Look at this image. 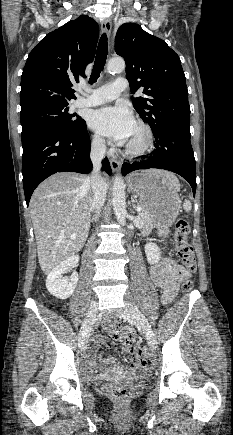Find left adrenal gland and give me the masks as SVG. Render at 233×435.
Listing matches in <instances>:
<instances>
[{"label":"left adrenal gland","instance_id":"obj_1","mask_svg":"<svg viewBox=\"0 0 233 435\" xmlns=\"http://www.w3.org/2000/svg\"><path fill=\"white\" fill-rule=\"evenodd\" d=\"M132 207L136 210V205L134 204V200H132Z\"/></svg>","mask_w":233,"mask_h":435}]
</instances>
